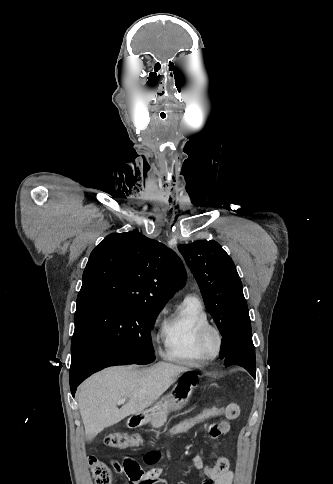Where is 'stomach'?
Instances as JSON below:
<instances>
[{"mask_svg": "<svg viewBox=\"0 0 333 484\" xmlns=\"http://www.w3.org/2000/svg\"><path fill=\"white\" fill-rule=\"evenodd\" d=\"M196 386V379L187 378L181 380L174 386L173 390L168 395L156 401L146 413L148 416H153L161 411L184 407Z\"/></svg>", "mask_w": 333, "mask_h": 484, "instance_id": "obj_1", "label": "stomach"}]
</instances>
